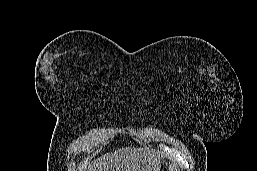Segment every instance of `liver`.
I'll return each instance as SVG.
<instances>
[{
	"mask_svg": "<svg viewBox=\"0 0 257 171\" xmlns=\"http://www.w3.org/2000/svg\"><path fill=\"white\" fill-rule=\"evenodd\" d=\"M158 159L147 149L128 147L83 163L80 171H159Z\"/></svg>",
	"mask_w": 257,
	"mask_h": 171,
	"instance_id": "liver-1",
	"label": "liver"
}]
</instances>
